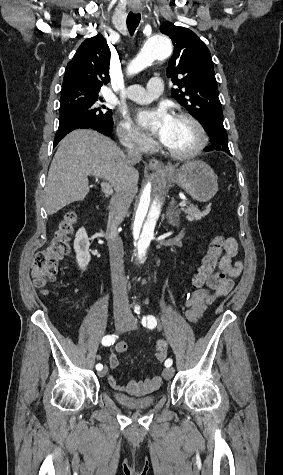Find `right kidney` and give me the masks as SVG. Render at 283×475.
<instances>
[{
	"label": "right kidney",
	"mask_w": 283,
	"mask_h": 475,
	"mask_svg": "<svg viewBox=\"0 0 283 475\" xmlns=\"http://www.w3.org/2000/svg\"><path fill=\"white\" fill-rule=\"evenodd\" d=\"M89 245L90 241L85 228H79L74 239V249L76 251V261L80 269H83V271L87 269V265L91 259Z\"/></svg>",
	"instance_id": "obj_1"
}]
</instances>
